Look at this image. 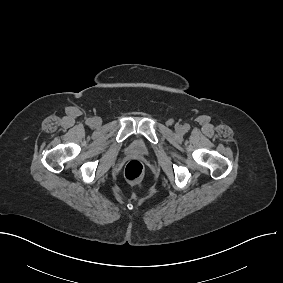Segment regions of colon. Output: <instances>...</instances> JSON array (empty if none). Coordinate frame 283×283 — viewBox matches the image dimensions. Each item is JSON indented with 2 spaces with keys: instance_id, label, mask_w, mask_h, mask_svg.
I'll return each instance as SVG.
<instances>
[{
  "instance_id": "5ec220e1",
  "label": "colon",
  "mask_w": 283,
  "mask_h": 283,
  "mask_svg": "<svg viewBox=\"0 0 283 283\" xmlns=\"http://www.w3.org/2000/svg\"><path fill=\"white\" fill-rule=\"evenodd\" d=\"M145 174V168L141 161L131 160L124 168V176L132 184H141Z\"/></svg>"
}]
</instances>
